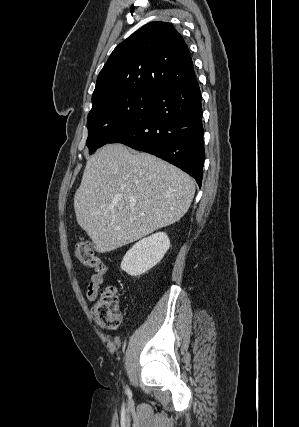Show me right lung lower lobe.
<instances>
[{
	"mask_svg": "<svg viewBox=\"0 0 299 427\" xmlns=\"http://www.w3.org/2000/svg\"><path fill=\"white\" fill-rule=\"evenodd\" d=\"M108 143L160 157L201 186L204 164L201 93L196 79L159 91L146 111Z\"/></svg>",
	"mask_w": 299,
	"mask_h": 427,
	"instance_id": "98d812e1",
	"label": "right lung lower lobe"
}]
</instances>
